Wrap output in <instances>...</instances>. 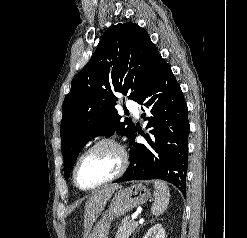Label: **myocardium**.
Here are the masks:
<instances>
[{
  "mask_svg": "<svg viewBox=\"0 0 247 238\" xmlns=\"http://www.w3.org/2000/svg\"><path fill=\"white\" fill-rule=\"evenodd\" d=\"M105 145L115 148L117 150V152L119 153L120 167H119L118 171L113 176H111L110 178H108V179H106V180H104V181H102L96 185H93L90 187L81 186L77 180V171H78V167H79L81 161L89 153H91L95 149H97L101 146H105ZM128 165H129V158H128V154H127L126 150L124 149V147L120 143H118L115 139L110 138V137H104V138H101V139L97 140L96 142H94L92 145H90L86 150H84L79 155V157L77 158L75 165L73 167L72 179H73V182L77 188H79L80 190H83V191H90V190L100 188V187H102L106 184H109V183L113 182L114 180L120 178L125 173V171L127 170Z\"/></svg>",
  "mask_w": 247,
  "mask_h": 238,
  "instance_id": "obj_1",
  "label": "myocardium"
}]
</instances>
